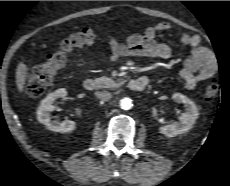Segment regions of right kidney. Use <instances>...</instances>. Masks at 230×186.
<instances>
[{
    "label": "right kidney",
    "mask_w": 230,
    "mask_h": 186,
    "mask_svg": "<svg viewBox=\"0 0 230 186\" xmlns=\"http://www.w3.org/2000/svg\"><path fill=\"white\" fill-rule=\"evenodd\" d=\"M67 95V90L65 88H60L53 93L48 94V96L43 99L37 110V119L39 122L43 123L49 130L55 132L67 133L75 129L76 123L71 120H65L62 122L52 121L50 118V112H52L55 107L53 103L61 97Z\"/></svg>",
    "instance_id": "ca27d5eb"
}]
</instances>
